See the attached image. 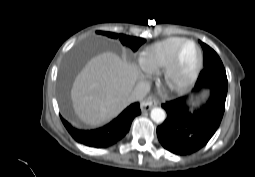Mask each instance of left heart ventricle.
Masks as SVG:
<instances>
[{"mask_svg":"<svg viewBox=\"0 0 255 177\" xmlns=\"http://www.w3.org/2000/svg\"><path fill=\"white\" fill-rule=\"evenodd\" d=\"M196 56V50L192 45H187L184 48L174 73L175 82H181L188 77L195 64Z\"/></svg>","mask_w":255,"mask_h":177,"instance_id":"left-heart-ventricle-1","label":"left heart ventricle"}]
</instances>
